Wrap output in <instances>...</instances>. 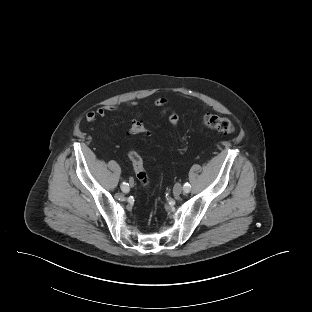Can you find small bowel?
Listing matches in <instances>:
<instances>
[{
  "label": "small bowel",
  "instance_id": "c3829d8e",
  "mask_svg": "<svg viewBox=\"0 0 312 312\" xmlns=\"http://www.w3.org/2000/svg\"><path fill=\"white\" fill-rule=\"evenodd\" d=\"M167 104H168V101L164 97L157 98L154 101V105L156 107L161 108L160 114L161 115L168 114V119H169L170 123L175 126L179 122V116L176 112L168 111ZM135 105H136V102H134V101H129L126 103V106H128V107H132ZM118 111H120V108L118 106L104 105V106L97 108L96 110L89 111L86 114V121L89 123H93L97 118H104L108 113H115Z\"/></svg>",
  "mask_w": 312,
  "mask_h": 312
}]
</instances>
